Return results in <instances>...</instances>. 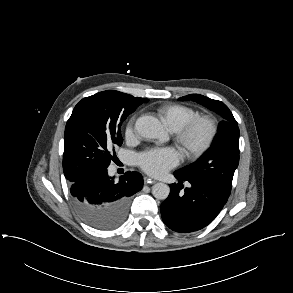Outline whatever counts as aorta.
Masks as SVG:
<instances>
[{"instance_id":"1","label":"aorta","mask_w":293,"mask_h":293,"mask_svg":"<svg viewBox=\"0 0 293 293\" xmlns=\"http://www.w3.org/2000/svg\"><path fill=\"white\" fill-rule=\"evenodd\" d=\"M135 130L137 133L146 139H156L164 142L167 135L161 122L149 115H143L136 120ZM170 193V188L165 183H156L152 187V194L156 199L165 200Z\"/></svg>"}]
</instances>
